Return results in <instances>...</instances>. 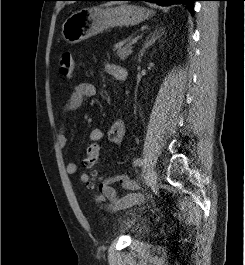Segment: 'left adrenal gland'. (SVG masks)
I'll use <instances>...</instances> for the list:
<instances>
[{
    "mask_svg": "<svg viewBox=\"0 0 245 265\" xmlns=\"http://www.w3.org/2000/svg\"><path fill=\"white\" fill-rule=\"evenodd\" d=\"M163 34H164V31L162 28H159V29L156 28L152 33L148 35V37H146L143 47L140 50L139 55H138L139 63L141 62L142 56L144 55L146 49L152 46L157 41V39H159Z\"/></svg>",
    "mask_w": 245,
    "mask_h": 265,
    "instance_id": "obj_1",
    "label": "left adrenal gland"
}]
</instances>
